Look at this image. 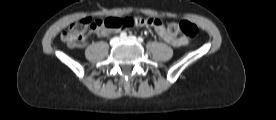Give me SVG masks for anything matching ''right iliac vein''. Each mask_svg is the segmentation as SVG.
Returning a JSON list of instances; mask_svg holds the SVG:
<instances>
[{
    "mask_svg": "<svg viewBox=\"0 0 276 120\" xmlns=\"http://www.w3.org/2000/svg\"><path fill=\"white\" fill-rule=\"evenodd\" d=\"M118 43H119V38H117V37L113 38V39L110 41V44H111L112 46H115V45H117Z\"/></svg>",
    "mask_w": 276,
    "mask_h": 120,
    "instance_id": "1",
    "label": "right iliac vein"
}]
</instances>
